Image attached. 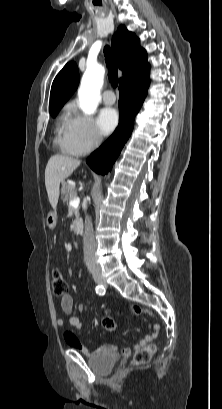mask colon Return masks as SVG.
I'll return each instance as SVG.
<instances>
[{
  "mask_svg": "<svg viewBox=\"0 0 222 409\" xmlns=\"http://www.w3.org/2000/svg\"><path fill=\"white\" fill-rule=\"evenodd\" d=\"M51 289L54 295L64 296L67 294L68 285L63 275L59 270H54L51 277ZM139 306L134 305L131 307V313L134 315H139L144 313ZM103 325L107 328H112L114 326L113 322L110 319L103 320ZM155 352L154 345H145L140 350H138L133 358L135 364H144L147 363L152 355Z\"/></svg>",
  "mask_w": 222,
  "mask_h": 409,
  "instance_id": "colon-1",
  "label": "colon"
}]
</instances>
